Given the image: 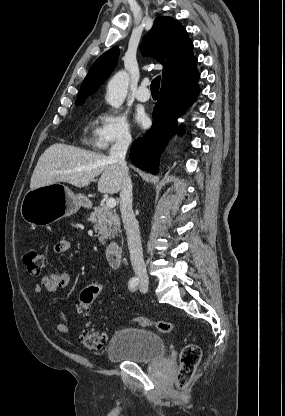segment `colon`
<instances>
[{"label":"colon","instance_id":"colon-1","mask_svg":"<svg viewBox=\"0 0 285 416\" xmlns=\"http://www.w3.org/2000/svg\"><path fill=\"white\" fill-rule=\"evenodd\" d=\"M24 264L33 276L41 274L45 266V257L36 250H28L23 256ZM102 287L99 283H91L86 286L79 296V309L83 313H88L93 305L95 298L101 293ZM134 323L141 327H155L163 333L174 331L175 326L168 321H155L144 317L133 319ZM106 334L91 328H84L78 334V342L88 350H99L106 342ZM201 349L195 344H187L181 351L180 369L176 378L179 388H185L190 383L195 369L201 361Z\"/></svg>","mask_w":285,"mask_h":416}]
</instances>
